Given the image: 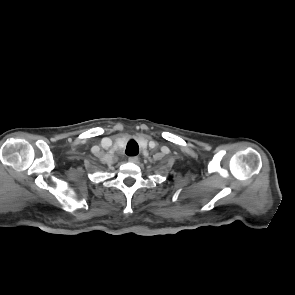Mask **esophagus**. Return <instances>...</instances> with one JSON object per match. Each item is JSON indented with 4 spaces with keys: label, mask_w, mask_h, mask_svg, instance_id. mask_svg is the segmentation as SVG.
Instances as JSON below:
<instances>
[{
    "label": "esophagus",
    "mask_w": 295,
    "mask_h": 295,
    "mask_svg": "<svg viewBox=\"0 0 295 295\" xmlns=\"http://www.w3.org/2000/svg\"><path fill=\"white\" fill-rule=\"evenodd\" d=\"M128 160L131 163H137L139 161V157L138 156H131V157H129Z\"/></svg>",
    "instance_id": "esophagus-1"
}]
</instances>
